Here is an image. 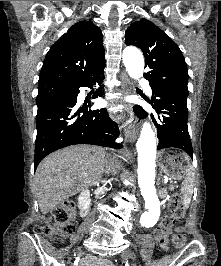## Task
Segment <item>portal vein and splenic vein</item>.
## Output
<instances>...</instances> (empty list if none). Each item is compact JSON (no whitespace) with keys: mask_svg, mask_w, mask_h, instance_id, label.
Here are the masks:
<instances>
[{"mask_svg":"<svg viewBox=\"0 0 221 266\" xmlns=\"http://www.w3.org/2000/svg\"><path fill=\"white\" fill-rule=\"evenodd\" d=\"M167 182H168V179L165 180V183H167Z\"/></svg>","mask_w":221,"mask_h":266,"instance_id":"portal-vein-and-splenic-vein-1","label":"portal vein and splenic vein"}]
</instances>
